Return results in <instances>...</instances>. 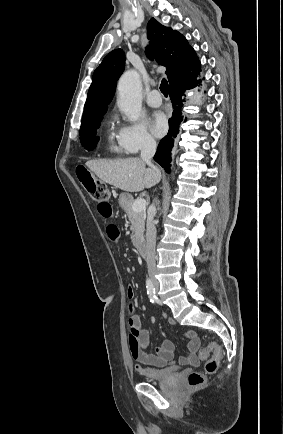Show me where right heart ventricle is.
<instances>
[{"label":"right heart ventricle","instance_id":"right-heart-ventricle-1","mask_svg":"<svg viewBox=\"0 0 283 434\" xmlns=\"http://www.w3.org/2000/svg\"><path fill=\"white\" fill-rule=\"evenodd\" d=\"M108 142H109V149L111 151H114V152H121L122 151V149L119 145V142L115 141L112 125H110L109 130H108Z\"/></svg>","mask_w":283,"mask_h":434}]
</instances>
